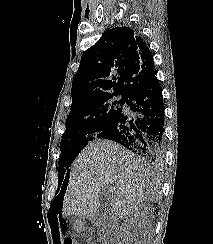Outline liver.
<instances>
[{
  "instance_id": "liver-1",
  "label": "liver",
  "mask_w": 213,
  "mask_h": 244,
  "mask_svg": "<svg viewBox=\"0 0 213 244\" xmlns=\"http://www.w3.org/2000/svg\"><path fill=\"white\" fill-rule=\"evenodd\" d=\"M112 193L111 218L128 215L140 202L161 198L159 176L131 151L110 141H95L73 163L63 200L65 218L88 217L100 206L102 191Z\"/></svg>"
}]
</instances>
